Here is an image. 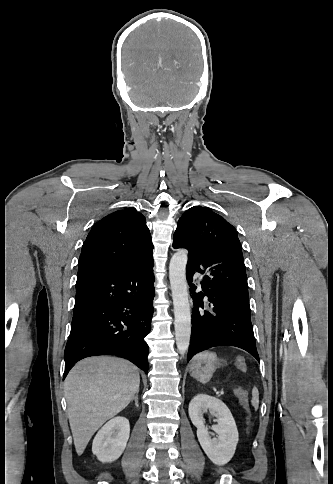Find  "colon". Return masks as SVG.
I'll return each instance as SVG.
<instances>
[{"label": "colon", "instance_id": "colon-1", "mask_svg": "<svg viewBox=\"0 0 333 484\" xmlns=\"http://www.w3.org/2000/svg\"><path fill=\"white\" fill-rule=\"evenodd\" d=\"M236 366L242 370L246 371L247 366L245 359L243 357H238L235 361ZM234 393L236 397L238 398L239 402L241 405L244 407V409L248 410V392L246 389L243 387L237 386L234 388Z\"/></svg>", "mask_w": 333, "mask_h": 484}]
</instances>
